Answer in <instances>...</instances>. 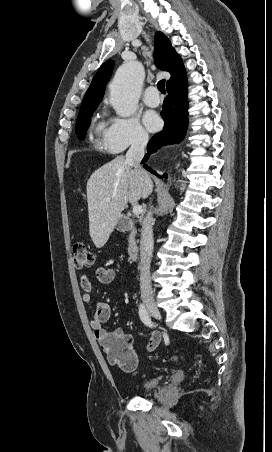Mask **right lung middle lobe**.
Returning <instances> with one entry per match:
<instances>
[{"mask_svg":"<svg viewBox=\"0 0 272 452\" xmlns=\"http://www.w3.org/2000/svg\"><path fill=\"white\" fill-rule=\"evenodd\" d=\"M98 104L87 105L80 108V112L77 118L76 134L79 139H84L86 130L90 125V117L92 112L97 108Z\"/></svg>","mask_w":272,"mask_h":452,"instance_id":"1","label":"right lung middle lobe"}]
</instances>
